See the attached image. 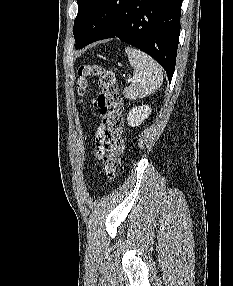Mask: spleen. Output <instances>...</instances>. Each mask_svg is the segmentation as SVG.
Instances as JSON below:
<instances>
[{"instance_id": "3e777b00", "label": "spleen", "mask_w": 233, "mask_h": 286, "mask_svg": "<svg viewBox=\"0 0 233 286\" xmlns=\"http://www.w3.org/2000/svg\"><path fill=\"white\" fill-rule=\"evenodd\" d=\"M125 52L134 72L130 86L123 91L124 97L133 100L154 93L163 82L162 67L139 49L126 47Z\"/></svg>"}]
</instances>
